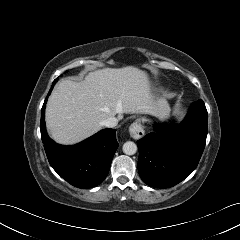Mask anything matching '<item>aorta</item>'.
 I'll list each match as a JSON object with an SVG mask.
<instances>
[{
	"mask_svg": "<svg viewBox=\"0 0 240 240\" xmlns=\"http://www.w3.org/2000/svg\"><path fill=\"white\" fill-rule=\"evenodd\" d=\"M122 150L126 155H134L137 152V145L132 141H128L123 144Z\"/></svg>",
	"mask_w": 240,
	"mask_h": 240,
	"instance_id": "1",
	"label": "aorta"
}]
</instances>
